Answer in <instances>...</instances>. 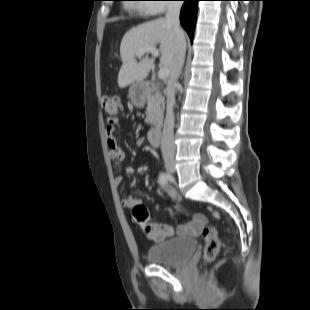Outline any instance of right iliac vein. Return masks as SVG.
<instances>
[{
	"mask_svg": "<svg viewBox=\"0 0 310 310\" xmlns=\"http://www.w3.org/2000/svg\"><path fill=\"white\" fill-rule=\"evenodd\" d=\"M164 164H165V167L167 169V171L172 174L175 172V163H174V160L173 158L171 157H165L164 158Z\"/></svg>",
	"mask_w": 310,
	"mask_h": 310,
	"instance_id": "right-iliac-vein-1",
	"label": "right iliac vein"
}]
</instances>
